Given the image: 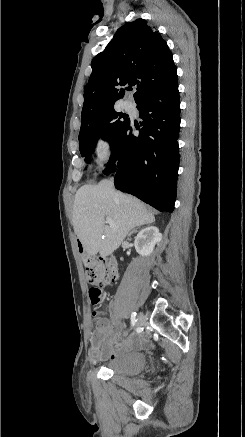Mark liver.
<instances>
[{"mask_svg": "<svg viewBox=\"0 0 245 437\" xmlns=\"http://www.w3.org/2000/svg\"><path fill=\"white\" fill-rule=\"evenodd\" d=\"M105 217L115 226L106 225ZM72 221L85 252L105 257L121 245L131 229L151 224L155 217L138 199L114 190L110 180H102L79 188Z\"/></svg>", "mask_w": 245, "mask_h": 437, "instance_id": "6515ba94", "label": "liver"}]
</instances>
